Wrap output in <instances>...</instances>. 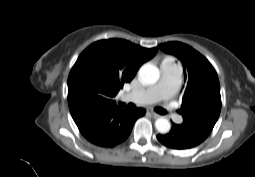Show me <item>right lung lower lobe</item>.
I'll return each mask as SVG.
<instances>
[{"instance_id": "1", "label": "right lung lower lobe", "mask_w": 255, "mask_h": 177, "mask_svg": "<svg viewBox=\"0 0 255 177\" xmlns=\"http://www.w3.org/2000/svg\"><path fill=\"white\" fill-rule=\"evenodd\" d=\"M145 114L143 108L128 110L124 104L96 110L74 119L81 134L101 147H114L126 140L134 122Z\"/></svg>"}]
</instances>
